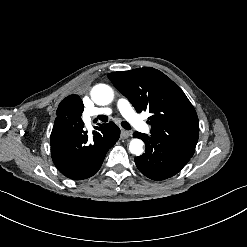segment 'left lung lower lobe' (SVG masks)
Wrapping results in <instances>:
<instances>
[{
  "instance_id": "left-lung-lower-lobe-1",
  "label": "left lung lower lobe",
  "mask_w": 247,
  "mask_h": 247,
  "mask_svg": "<svg viewBox=\"0 0 247 247\" xmlns=\"http://www.w3.org/2000/svg\"><path fill=\"white\" fill-rule=\"evenodd\" d=\"M146 145L145 153L135 158L142 174L152 180H164L177 174L190 160L191 156L168 145L159 143L155 138L134 132Z\"/></svg>"
}]
</instances>
